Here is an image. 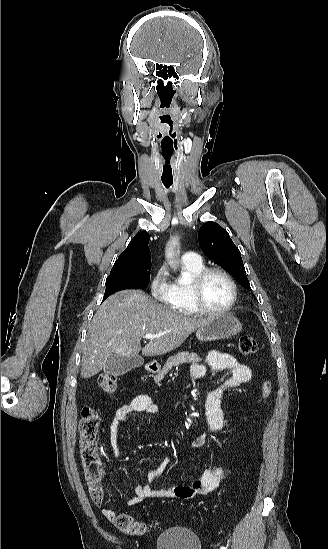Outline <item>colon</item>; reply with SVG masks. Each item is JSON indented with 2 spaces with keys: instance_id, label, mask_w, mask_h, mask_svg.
<instances>
[{
  "instance_id": "obj_1",
  "label": "colon",
  "mask_w": 328,
  "mask_h": 549,
  "mask_svg": "<svg viewBox=\"0 0 328 549\" xmlns=\"http://www.w3.org/2000/svg\"><path fill=\"white\" fill-rule=\"evenodd\" d=\"M239 349L243 354L251 355L257 352L258 345L252 336L243 334L239 337ZM98 385L105 393L113 394L117 389V379L111 374H102L98 378ZM271 391V381H264L261 389L262 397L267 398ZM99 425L100 417L97 412L90 407H84L79 420V454L90 496L97 504L104 499V489L101 483L103 470L97 452ZM107 517L114 521L118 529L129 534H144L148 530L146 524L135 520L128 514L108 513Z\"/></svg>"
}]
</instances>
